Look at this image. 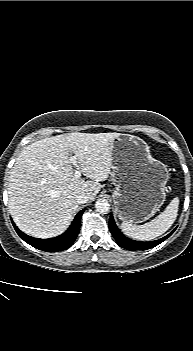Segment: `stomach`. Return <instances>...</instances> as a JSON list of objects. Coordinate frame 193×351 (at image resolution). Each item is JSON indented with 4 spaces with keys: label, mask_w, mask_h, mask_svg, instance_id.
Listing matches in <instances>:
<instances>
[{
    "label": "stomach",
    "mask_w": 193,
    "mask_h": 351,
    "mask_svg": "<svg viewBox=\"0 0 193 351\" xmlns=\"http://www.w3.org/2000/svg\"><path fill=\"white\" fill-rule=\"evenodd\" d=\"M111 176L121 220L147 221L166 199L167 166L154 159L147 143L137 136L120 134L113 140Z\"/></svg>",
    "instance_id": "obj_1"
}]
</instances>
